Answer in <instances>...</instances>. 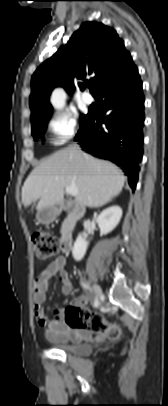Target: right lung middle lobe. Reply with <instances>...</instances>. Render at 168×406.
Returning <instances> with one entry per match:
<instances>
[{
	"label": "right lung middle lobe",
	"mask_w": 168,
	"mask_h": 406,
	"mask_svg": "<svg viewBox=\"0 0 168 406\" xmlns=\"http://www.w3.org/2000/svg\"><path fill=\"white\" fill-rule=\"evenodd\" d=\"M88 116H89V113L87 115H81V126L86 121ZM47 121H48V117L32 124V135L34 136L35 139H38L40 136L44 135Z\"/></svg>",
	"instance_id": "obj_1"
}]
</instances>
